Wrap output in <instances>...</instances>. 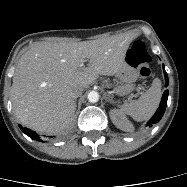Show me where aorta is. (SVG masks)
I'll use <instances>...</instances> for the list:
<instances>
[{"label":"aorta","mask_w":187,"mask_h":187,"mask_svg":"<svg viewBox=\"0 0 187 187\" xmlns=\"http://www.w3.org/2000/svg\"><path fill=\"white\" fill-rule=\"evenodd\" d=\"M88 100L91 103H96L99 100V94L96 91H91L88 93Z\"/></svg>","instance_id":"1"}]
</instances>
